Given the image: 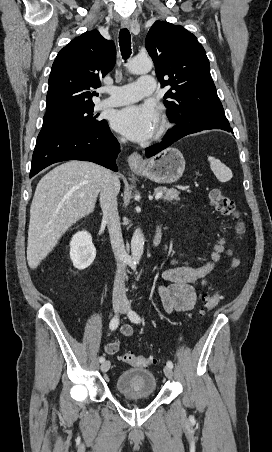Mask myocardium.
Segmentation results:
<instances>
[{"mask_svg":"<svg viewBox=\"0 0 272 452\" xmlns=\"http://www.w3.org/2000/svg\"><path fill=\"white\" fill-rule=\"evenodd\" d=\"M167 128H168V123L164 119H162L158 126L156 136L160 137L161 135H163L165 133V131L167 130Z\"/></svg>","mask_w":272,"mask_h":452,"instance_id":"1","label":"myocardium"}]
</instances>
